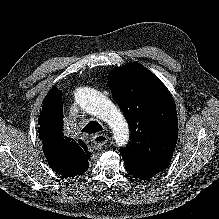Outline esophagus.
I'll list each match as a JSON object with an SVG mask.
<instances>
[{"label": "esophagus", "mask_w": 219, "mask_h": 219, "mask_svg": "<svg viewBox=\"0 0 219 219\" xmlns=\"http://www.w3.org/2000/svg\"><path fill=\"white\" fill-rule=\"evenodd\" d=\"M108 141V136L105 134H96L92 139V145L95 148L103 147Z\"/></svg>", "instance_id": "34e87169"}]
</instances>
